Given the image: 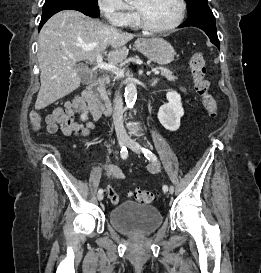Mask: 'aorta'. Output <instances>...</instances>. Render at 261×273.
Returning a JSON list of instances; mask_svg holds the SVG:
<instances>
[{"label":"aorta","instance_id":"1","mask_svg":"<svg viewBox=\"0 0 261 273\" xmlns=\"http://www.w3.org/2000/svg\"><path fill=\"white\" fill-rule=\"evenodd\" d=\"M133 0H126V2L130 3ZM125 103L127 108H132L136 102L137 98V88L136 84L133 81H129L125 87Z\"/></svg>","mask_w":261,"mask_h":273}]
</instances>
